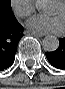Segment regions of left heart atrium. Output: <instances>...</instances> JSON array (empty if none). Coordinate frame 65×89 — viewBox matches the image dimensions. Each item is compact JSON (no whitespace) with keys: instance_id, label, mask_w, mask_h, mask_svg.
<instances>
[{"instance_id":"obj_1","label":"left heart atrium","mask_w":65,"mask_h":89,"mask_svg":"<svg viewBox=\"0 0 65 89\" xmlns=\"http://www.w3.org/2000/svg\"><path fill=\"white\" fill-rule=\"evenodd\" d=\"M27 27L37 33L60 34L64 31L65 23L59 15H37L28 20Z\"/></svg>"}]
</instances>
